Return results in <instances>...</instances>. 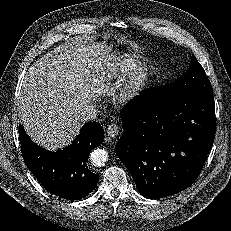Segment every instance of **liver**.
Returning a JSON list of instances; mask_svg holds the SVG:
<instances>
[{"label": "liver", "instance_id": "obj_1", "mask_svg": "<svg viewBox=\"0 0 231 231\" xmlns=\"http://www.w3.org/2000/svg\"><path fill=\"white\" fill-rule=\"evenodd\" d=\"M107 57L108 49L101 43L77 39L32 64L17 111L34 142L51 151L71 144L83 124L78 112L107 88L103 80Z\"/></svg>", "mask_w": 231, "mask_h": 231}]
</instances>
